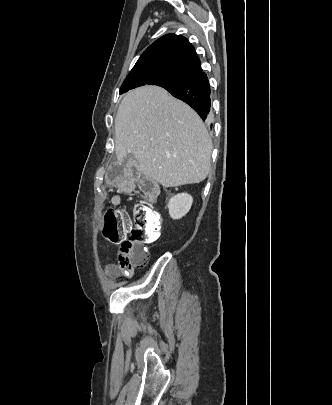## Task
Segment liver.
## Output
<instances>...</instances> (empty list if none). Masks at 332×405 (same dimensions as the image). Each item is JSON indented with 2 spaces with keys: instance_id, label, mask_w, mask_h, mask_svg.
Listing matches in <instances>:
<instances>
[{
  "instance_id": "liver-1",
  "label": "liver",
  "mask_w": 332,
  "mask_h": 405,
  "mask_svg": "<svg viewBox=\"0 0 332 405\" xmlns=\"http://www.w3.org/2000/svg\"><path fill=\"white\" fill-rule=\"evenodd\" d=\"M119 163L128 154L139 171L164 187L203 181L210 171L212 141L198 114L157 86L133 89L115 118Z\"/></svg>"
}]
</instances>
